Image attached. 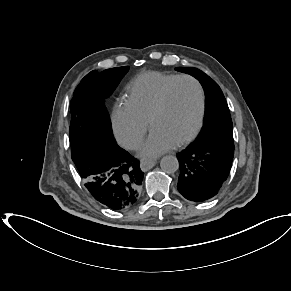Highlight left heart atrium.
Here are the masks:
<instances>
[{
  "label": "left heart atrium",
  "mask_w": 291,
  "mask_h": 291,
  "mask_svg": "<svg viewBox=\"0 0 291 291\" xmlns=\"http://www.w3.org/2000/svg\"><path fill=\"white\" fill-rule=\"evenodd\" d=\"M175 145L171 139L162 133L152 130L149 138L142 145L139 155L145 161H149L173 149Z\"/></svg>",
  "instance_id": "1"
}]
</instances>
